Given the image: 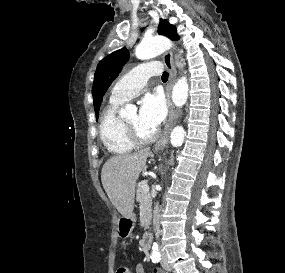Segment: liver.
<instances>
[{"label": "liver", "instance_id": "obj_1", "mask_svg": "<svg viewBox=\"0 0 285 273\" xmlns=\"http://www.w3.org/2000/svg\"><path fill=\"white\" fill-rule=\"evenodd\" d=\"M149 155L150 148H145L133 154L112 156L103 165V188L124 218L133 216L136 181Z\"/></svg>", "mask_w": 285, "mask_h": 273}]
</instances>
